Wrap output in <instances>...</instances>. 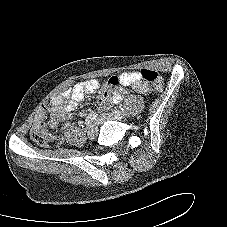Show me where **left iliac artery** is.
Wrapping results in <instances>:
<instances>
[{
    "instance_id": "1",
    "label": "left iliac artery",
    "mask_w": 227,
    "mask_h": 227,
    "mask_svg": "<svg viewBox=\"0 0 227 227\" xmlns=\"http://www.w3.org/2000/svg\"><path fill=\"white\" fill-rule=\"evenodd\" d=\"M113 113L116 115H120V114L127 115V110L124 108H121V110H113Z\"/></svg>"
}]
</instances>
